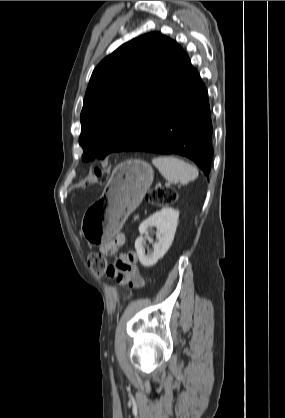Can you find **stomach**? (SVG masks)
I'll return each instance as SVG.
<instances>
[{"instance_id": "obj_1", "label": "stomach", "mask_w": 285, "mask_h": 418, "mask_svg": "<svg viewBox=\"0 0 285 418\" xmlns=\"http://www.w3.org/2000/svg\"><path fill=\"white\" fill-rule=\"evenodd\" d=\"M154 172L145 161L127 160L115 167L100 199L85 213L83 236L90 243L110 240L139 206L152 184Z\"/></svg>"}]
</instances>
